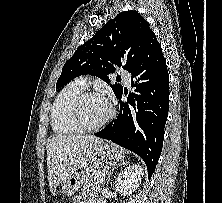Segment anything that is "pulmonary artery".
<instances>
[{
	"label": "pulmonary artery",
	"mask_w": 222,
	"mask_h": 203,
	"mask_svg": "<svg viewBox=\"0 0 222 203\" xmlns=\"http://www.w3.org/2000/svg\"><path fill=\"white\" fill-rule=\"evenodd\" d=\"M119 75L124 79L125 83L127 85H130L131 83V75L129 72L125 71V70H121L119 72ZM78 84H80L81 86L85 87L86 86V81L83 78H80L76 81Z\"/></svg>",
	"instance_id": "pulmonary-artery-1"
}]
</instances>
